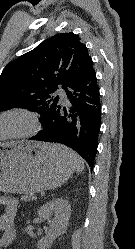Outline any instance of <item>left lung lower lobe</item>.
Here are the masks:
<instances>
[{
  "label": "left lung lower lobe",
  "mask_w": 135,
  "mask_h": 249,
  "mask_svg": "<svg viewBox=\"0 0 135 249\" xmlns=\"http://www.w3.org/2000/svg\"><path fill=\"white\" fill-rule=\"evenodd\" d=\"M64 90L68 106H61L58 100L42 121L43 130L30 139L64 144L93 169L101 125L100 94L93 65Z\"/></svg>",
  "instance_id": "1"
}]
</instances>
